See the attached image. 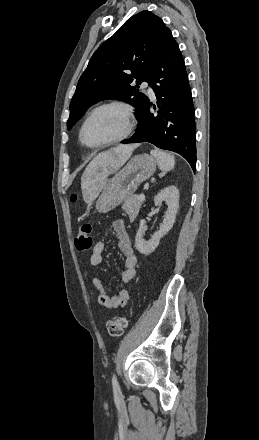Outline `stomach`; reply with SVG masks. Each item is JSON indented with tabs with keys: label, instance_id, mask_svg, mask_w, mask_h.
<instances>
[{
	"label": "stomach",
	"instance_id": "obj_1",
	"mask_svg": "<svg viewBox=\"0 0 259 440\" xmlns=\"http://www.w3.org/2000/svg\"><path fill=\"white\" fill-rule=\"evenodd\" d=\"M156 165L157 162L151 155L140 154L132 157L108 180L96 202V210L99 213H106L131 197L138 186L154 174Z\"/></svg>",
	"mask_w": 259,
	"mask_h": 440
}]
</instances>
